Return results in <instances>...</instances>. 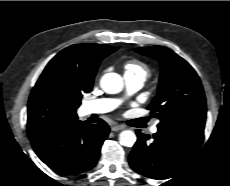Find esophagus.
Segmentation results:
<instances>
[{"label": "esophagus", "mask_w": 230, "mask_h": 186, "mask_svg": "<svg viewBox=\"0 0 230 186\" xmlns=\"http://www.w3.org/2000/svg\"><path fill=\"white\" fill-rule=\"evenodd\" d=\"M123 129H125V126H123V125L114 124V125L111 126L112 131H120V130H123Z\"/></svg>", "instance_id": "34e87169"}]
</instances>
